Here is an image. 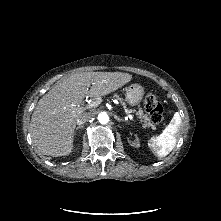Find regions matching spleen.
<instances>
[{
	"instance_id": "3e777b00",
	"label": "spleen",
	"mask_w": 221,
	"mask_h": 221,
	"mask_svg": "<svg viewBox=\"0 0 221 221\" xmlns=\"http://www.w3.org/2000/svg\"><path fill=\"white\" fill-rule=\"evenodd\" d=\"M180 114L176 112L163 132L149 140V146L155 156L162 158L167 156L176 145V134L181 126Z\"/></svg>"
}]
</instances>
